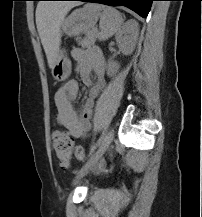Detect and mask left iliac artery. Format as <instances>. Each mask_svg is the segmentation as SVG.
<instances>
[{"label":"left iliac artery","mask_w":202,"mask_h":217,"mask_svg":"<svg viewBox=\"0 0 202 217\" xmlns=\"http://www.w3.org/2000/svg\"><path fill=\"white\" fill-rule=\"evenodd\" d=\"M104 136H105V132L101 134L97 142L92 146L90 150V154H92L95 151V149L101 144L102 140L104 139Z\"/></svg>","instance_id":"1"}]
</instances>
